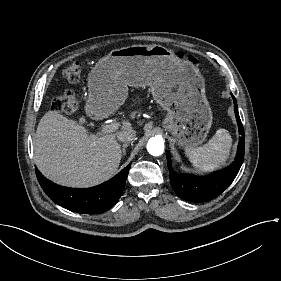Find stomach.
Wrapping results in <instances>:
<instances>
[{
	"mask_svg": "<svg viewBox=\"0 0 281 281\" xmlns=\"http://www.w3.org/2000/svg\"><path fill=\"white\" fill-rule=\"evenodd\" d=\"M128 86H150L154 100L167 111L164 128L179 146L202 144L212 126L205 80L190 60L161 45H132L112 50L88 75L86 114L100 120L117 110Z\"/></svg>",
	"mask_w": 281,
	"mask_h": 281,
	"instance_id": "obj_1",
	"label": "stomach"
}]
</instances>
